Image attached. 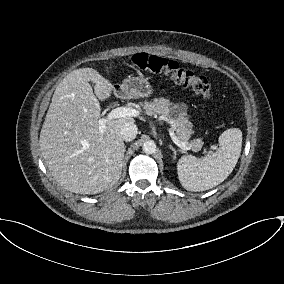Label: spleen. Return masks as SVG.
<instances>
[{
	"label": "spleen",
	"mask_w": 284,
	"mask_h": 284,
	"mask_svg": "<svg viewBox=\"0 0 284 284\" xmlns=\"http://www.w3.org/2000/svg\"><path fill=\"white\" fill-rule=\"evenodd\" d=\"M242 132L238 128L225 130L219 137V148L203 158L182 156L177 163L181 185L199 192L222 183L233 171L240 157Z\"/></svg>",
	"instance_id": "obj_1"
}]
</instances>
